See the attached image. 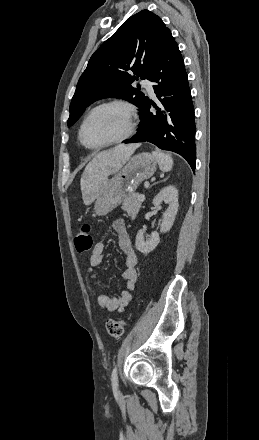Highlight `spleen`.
I'll list each match as a JSON object with an SVG mask.
<instances>
[{
	"label": "spleen",
	"instance_id": "1",
	"mask_svg": "<svg viewBox=\"0 0 259 440\" xmlns=\"http://www.w3.org/2000/svg\"><path fill=\"white\" fill-rule=\"evenodd\" d=\"M152 155L156 158L159 168L164 171H170L173 166V159L169 154H166L160 150H155L152 152Z\"/></svg>",
	"mask_w": 259,
	"mask_h": 440
}]
</instances>
